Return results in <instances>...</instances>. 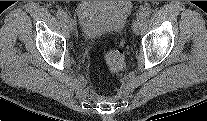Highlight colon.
<instances>
[{
	"instance_id": "colon-1",
	"label": "colon",
	"mask_w": 207,
	"mask_h": 121,
	"mask_svg": "<svg viewBox=\"0 0 207 121\" xmlns=\"http://www.w3.org/2000/svg\"><path fill=\"white\" fill-rule=\"evenodd\" d=\"M105 61L111 72H121L125 67L124 52L121 49H110L105 54Z\"/></svg>"
}]
</instances>
